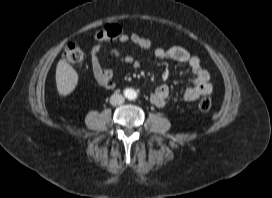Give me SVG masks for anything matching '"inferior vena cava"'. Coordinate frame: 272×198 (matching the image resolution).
Wrapping results in <instances>:
<instances>
[{"label":"inferior vena cava","mask_w":272,"mask_h":198,"mask_svg":"<svg viewBox=\"0 0 272 198\" xmlns=\"http://www.w3.org/2000/svg\"><path fill=\"white\" fill-rule=\"evenodd\" d=\"M125 101L124 96H122L121 94L118 93H114L111 97H110V103L113 106H117V105H121L123 104Z\"/></svg>","instance_id":"602c4592"}]
</instances>
